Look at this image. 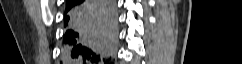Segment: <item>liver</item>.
Listing matches in <instances>:
<instances>
[{"instance_id":"1","label":"liver","mask_w":242,"mask_h":64,"mask_svg":"<svg viewBox=\"0 0 242 64\" xmlns=\"http://www.w3.org/2000/svg\"><path fill=\"white\" fill-rule=\"evenodd\" d=\"M85 24L98 33H104L108 30L106 24L101 20L96 10L90 13L89 18L85 21Z\"/></svg>"}]
</instances>
